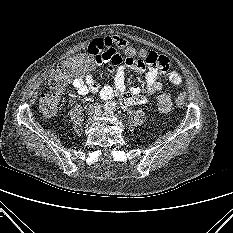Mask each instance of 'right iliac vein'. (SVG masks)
<instances>
[{"instance_id": "obj_1", "label": "right iliac vein", "mask_w": 233, "mask_h": 233, "mask_svg": "<svg viewBox=\"0 0 233 233\" xmlns=\"http://www.w3.org/2000/svg\"><path fill=\"white\" fill-rule=\"evenodd\" d=\"M90 118L92 117V113H90V116H89Z\"/></svg>"}]
</instances>
